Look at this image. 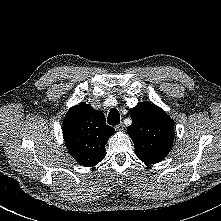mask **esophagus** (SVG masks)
Instances as JSON below:
<instances>
[{
  "mask_svg": "<svg viewBox=\"0 0 221 221\" xmlns=\"http://www.w3.org/2000/svg\"><path fill=\"white\" fill-rule=\"evenodd\" d=\"M115 129H116L117 131H122V130H124V124H123V123L118 124V125L115 127Z\"/></svg>",
  "mask_w": 221,
  "mask_h": 221,
  "instance_id": "34e87169",
  "label": "esophagus"
}]
</instances>
